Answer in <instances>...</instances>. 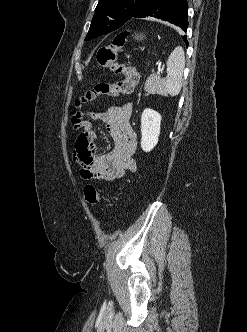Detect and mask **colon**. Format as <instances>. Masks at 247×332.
Instances as JSON below:
<instances>
[{
  "label": "colon",
  "instance_id": "colon-1",
  "mask_svg": "<svg viewBox=\"0 0 247 332\" xmlns=\"http://www.w3.org/2000/svg\"><path fill=\"white\" fill-rule=\"evenodd\" d=\"M126 39V33L118 34L110 45L101 46L96 52L97 63L104 68L111 70L120 78L113 82H100L91 90L85 92L78 100L76 106L90 102L97 97H115L120 94L131 93L139 80V74L135 67L120 63L117 60V53L122 48ZM79 117L75 119L78 123ZM85 199L89 204H97L101 200L99 191L93 185H86L84 188Z\"/></svg>",
  "mask_w": 247,
  "mask_h": 332
}]
</instances>
